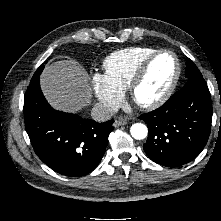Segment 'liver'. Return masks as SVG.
I'll list each match as a JSON object with an SVG mask.
<instances>
[{
	"instance_id": "6515ba94",
	"label": "liver",
	"mask_w": 221,
	"mask_h": 221,
	"mask_svg": "<svg viewBox=\"0 0 221 221\" xmlns=\"http://www.w3.org/2000/svg\"><path fill=\"white\" fill-rule=\"evenodd\" d=\"M40 85L45 98L56 110L78 112L90 103L89 77L75 60L46 66L40 76Z\"/></svg>"
}]
</instances>
